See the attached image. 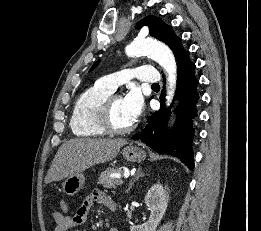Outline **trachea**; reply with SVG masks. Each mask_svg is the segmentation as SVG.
<instances>
[{
	"label": "trachea",
	"mask_w": 261,
	"mask_h": 231,
	"mask_svg": "<svg viewBox=\"0 0 261 231\" xmlns=\"http://www.w3.org/2000/svg\"><path fill=\"white\" fill-rule=\"evenodd\" d=\"M152 86H153V87H155V86H158V87H159V84H158V83H154V84H152Z\"/></svg>",
	"instance_id": "3493384b"
}]
</instances>
